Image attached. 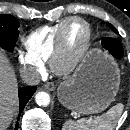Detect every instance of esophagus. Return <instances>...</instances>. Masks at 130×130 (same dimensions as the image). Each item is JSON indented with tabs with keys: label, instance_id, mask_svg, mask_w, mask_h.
Instances as JSON below:
<instances>
[{
	"label": "esophagus",
	"instance_id": "obj_1",
	"mask_svg": "<svg viewBox=\"0 0 130 130\" xmlns=\"http://www.w3.org/2000/svg\"><path fill=\"white\" fill-rule=\"evenodd\" d=\"M43 88L48 91H53L55 89V85L52 82H47L43 85Z\"/></svg>",
	"mask_w": 130,
	"mask_h": 130
}]
</instances>
